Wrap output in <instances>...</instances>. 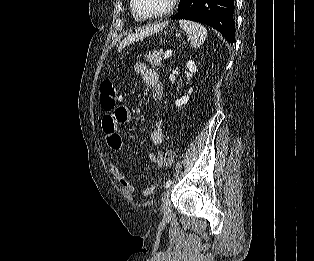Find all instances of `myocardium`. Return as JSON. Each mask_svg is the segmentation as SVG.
<instances>
[{
	"label": "myocardium",
	"instance_id": "f54148a6",
	"mask_svg": "<svg viewBox=\"0 0 314 261\" xmlns=\"http://www.w3.org/2000/svg\"><path fill=\"white\" fill-rule=\"evenodd\" d=\"M177 2L178 0H169L167 6L163 10L152 14H142L136 7V0H131V8L134 14L141 19H154L166 16L171 13L175 8Z\"/></svg>",
	"mask_w": 314,
	"mask_h": 261
}]
</instances>
